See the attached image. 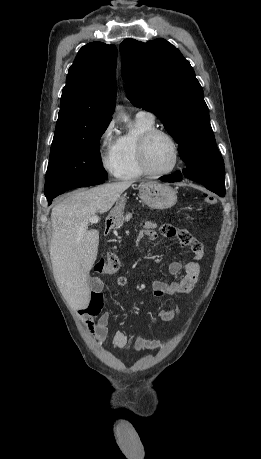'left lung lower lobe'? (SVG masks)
<instances>
[{
    "instance_id": "left-lung-lower-lobe-1",
    "label": "left lung lower lobe",
    "mask_w": 261,
    "mask_h": 459,
    "mask_svg": "<svg viewBox=\"0 0 261 459\" xmlns=\"http://www.w3.org/2000/svg\"><path fill=\"white\" fill-rule=\"evenodd\" d=\"M161 179L165 182H178L182 180V174L180 171H177L173 175L163 176ZM189 179L201 183L207 189L215 192L221 197L225 196V175L210 173L194 176Z\"/></svg>"
}]
</instances>
